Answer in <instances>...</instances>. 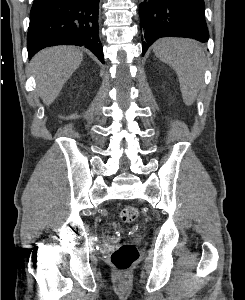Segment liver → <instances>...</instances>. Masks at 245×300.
Returning <instances> with one entry per match:
<instances>
[{"label":"liver","instance_id":"liver-1","mask_svg":"<svg viewBox=\"0 0 245 300\" xmlns=\"http://www.w3.org/2000/svg\"><path fill=\"white\" fill-rule=\"evenodd\" d=\"M82 60V51L71 46L47 48L32 58L30 67L36 79V90L47 106L54 102Z\"/></svg>","mask_w":245,"mask_h":300}]
</instances>
